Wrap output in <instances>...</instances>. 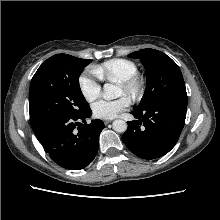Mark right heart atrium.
<instances>
[{
  "mask_svg": "<svg viewBox=\"0 0 220 220\" xmlns=\"http://www.w3.org/2000/svg\"><path fill=\"white\" fill-rule=\"evenodd\" d=\"M78 85L82 96L89 103L93 102L100 95L101 84L93 68L79 77Z\"/></svg>",
  "mask_w": 220,
  "mask_h": 220,
  "instance_id": "d8ad5b80",
  "label": "right heart atrium"
}]
</instances>
